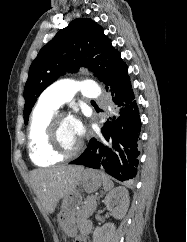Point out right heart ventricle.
<instances>
[{
  "label": "right heart ventricle",
  "mask_w": 187,
  "mask_h": 242,
  "mask_svg": "<svg viewBox=\"0 0 187 242\" xmlns=\"http://www.w3.org/2000/svg\"><path fill=\"white\" fill-rule=\"evenodd\" d=\"M55 112L56 109L39 102L32 113L28 132V148L30 159L38 166H50L62 160L49 152L45 142L47 124Z\"/></svg>",
  "instance_id": "right-heart-ventricle-1"
}]
</instances>
